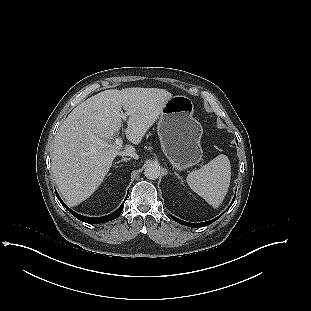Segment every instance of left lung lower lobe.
<instances>
[{
  "label": "left lung lower lobe",
  "instance_id": "0a47b994",
  "mask_svg": "<svg viewBox=\"0 0 311 311\" xmlns=\"http://www.w3.org/2000/svg\"><path fill=\"white\" fill-rule=\"evenodd\" d=\"M234 200H235V198L233 199V202H234ZM233 202H232V203H233ZM232 203H231V205H232ZM231 205H230V206H231ZM230 206H229V208H230ZM222 214H223V213H222ZM219 217H220V216H218L217 218L212 219V220H210V221L203 222V223H189V222L182 221V220H180V219H178V218L172 216V218H173L174 221H176V222H178V223H180V224H182V225H186V226L193 227V228L208 226V225H210L211 223H213L214 221H216Z\"/></svg>",
  "mask_w": 311,
  "mask_h": 311
}]
</instances>
